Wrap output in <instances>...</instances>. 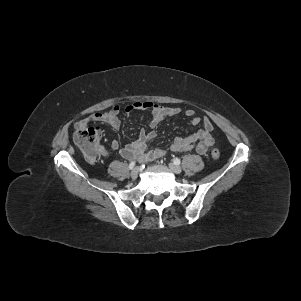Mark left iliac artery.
<instances>
[{
  "label": "left iliac artery",
  "mask_w": 301,
  "mask_h": 301,
  "mask_svg": "<svg viewBox=\"0 0 301 301\" xmlns=\"http://www.w3.org/2000/svg\"><path fill=\"white\" fill-rule=\"evenodd\" d=\"M173 161H174V164H176V165L180 164V159L179 158H175Z\"/></svg>",
  "instance_id": "obj_1"
}]
</instances>
